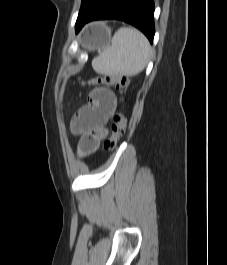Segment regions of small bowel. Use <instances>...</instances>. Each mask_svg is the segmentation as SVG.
I'll return each mask as SVG.
<instances>
[{
    "mask_svg": "<svg viewBox=\"0 0 227 265\" xmlns=\"http://www.w3.org/2000/svg\"><path fill=\"white\" fill-rule=\"evenodd\" d=\"M116 107V99L112 91L96 88L89 94V102L83 106L72 121V131L84 134L80 149L91 152L107 134L106 124Z\"/></svg>",
    "mask_w": 227,
    "mask_h": 265,
    "instance_id": "obj_1",
    "label": "small bowel"
}]
</instances>
